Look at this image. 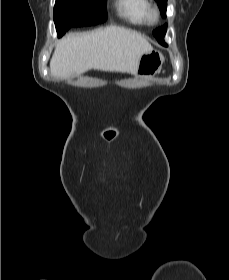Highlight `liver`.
I'll return each mask as SVG.
<instances>
[{
    "mask_svg": "<svg viewBox=\"0 0 229 280\" xmlns=\"http://www.w3.org/2000/svg\"><path fill=\"white\" fill-rule=\"evenodd\" d=\"M152 50L144 36L123 27L69 34L57 42L50 72L60 79L92 69L135 75L140 57Z\"/></svg>",
    "mask_w": 229,
    "mask_h": 280,
    "instance_id": "liver-1",
    "label": "liver"
}]
</instances>
